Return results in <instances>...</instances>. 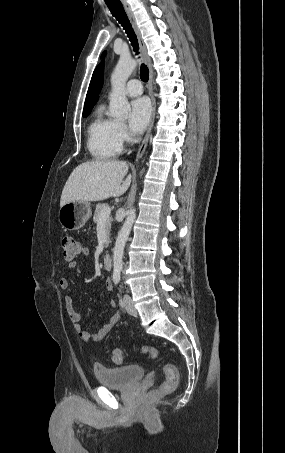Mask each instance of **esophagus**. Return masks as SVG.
Returning a JSON list of instances; mask_svg holds the SVG:
<instances>
[{"instance_id":"1","label":"esophagus","mask_w":285,"mask_h":453,"mask_svg":"<svg viewBox=\"0 0 285 453\" xmlns=\"http://www.w3.org/2000/svg\"><path fill=\"white\" fill-rule=\"evenodd\" d=\"M121 1L123 3V6L125 8V11H126L128 17H129V19L131 21L133 29H134V31L136 33L142 57H143L146 65L148 66V69H149L148 91H149V95L151 97V103H152L151 119H150V123H149L148 129H147V132H146V134L144 136L142 144L140 145L139 150H138L137 155H136V163H138L140 161V159L142 158V156H143V154H144V152H145V150L147 148L148 140H149V137H150L153 125H154V120H155L156 101H155V97H154V94H153L154 73H153V69H152L151 59H150V57H149V55L147 53V49H146L145 43L143 41L140 29H139V27H138V25L136 23L135 17L133 15L129 5L127 4L126 0H121Z\"/></svg>"}]
</instances>
